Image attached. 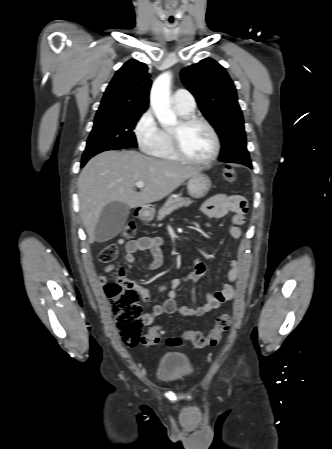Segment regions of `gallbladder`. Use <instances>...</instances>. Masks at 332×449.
I'll return each instance as SVG.
<instances>
[{
  "instance_id": "gallbladder-1",
  "label": "gallbladder",
  "mask_w": 332,
  "mask_h": 449,
  "mask_svg": "<svg viewBox=\"0 0 332 449\" xmlns=\"http://www.w3.org/2000/svg\"><path fill=\"white\" fill-rule=\"evenodd\" d=\"M129 215L127 204L111 202L101 211L95 227V240L105 242L116 237L124 227Z\"/></svg>"
}]
</instances>
